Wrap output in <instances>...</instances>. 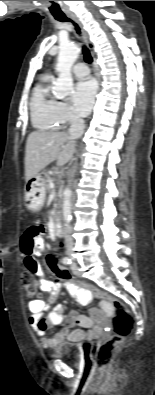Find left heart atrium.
<instances>
[{"mask_svg": "<svg viewBox=\"0 0 155 395\" xmlns=\"http://www.w3.org/2000/svg\"><path fill=\"white\" fill-rule=\"evenodd\" d=\"M97 93V84L93 79L78 82L75 85L72 101L76 112L86 115L91 110Z\"/></svg>", "mask_w": 155, "mask_h": 395, "instance_id": "obj_1", "label": "left heart atrium"}]
</instances>
